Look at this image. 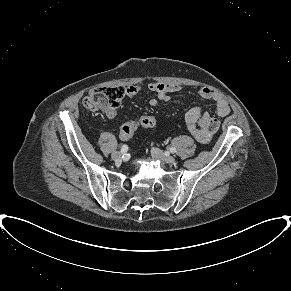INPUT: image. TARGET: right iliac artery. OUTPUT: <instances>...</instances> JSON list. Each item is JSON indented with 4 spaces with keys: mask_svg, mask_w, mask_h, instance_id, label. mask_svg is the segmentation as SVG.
<instances>
[{
    "mask_svg": "<svg viewBox=\"0 0 291 291\" xmlns=\"http://www.w3.org/2000/svg\"><path fill=\"white\" fill-rule=\"evenodd\" d=\"M128 151V146L126 144L122 145L121 152L126 153Z\"/></svg>",
    "mask_w": 291,
    "mask_h": 291,
    "instance_id": "right-iliac-artery-1",
    "label": "right iliac artery"
}]
</instances>
